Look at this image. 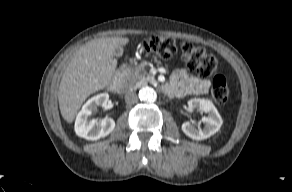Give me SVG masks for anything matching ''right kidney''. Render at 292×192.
<instances>
[{"label": "right kidney", "instance_id": "right-kidney-1", "mask_svg": "<svg viewBox=\"0 0 292 192\" xmlns=\"http://www.w3.org/2000/svg\"><path fill=\"white\" fill-rule=\"evenodd\" d=\"M109 101L108 93H101L90 98L78 113L75 121V132L79 137L87 140H98L109 135L115 128V121L112 118L102 119L99 122L95 119L89 120L92 112L99 106L106 108Z\"/></svg>", "mask_w": 292, "mask_h": 192}]
</instances>
